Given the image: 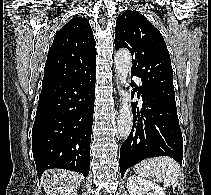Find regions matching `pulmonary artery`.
Wrapping results in <instances>:
<instances>
[{
    "mask_svg": "<svg viewBox=\"0 0 211 195\" xmlns=\"http://www.w3.org/2000/svg\"><path fill=\"white\" fill-rule=\"evenodd\" d=\"M136 82H137L139 85H141V82H140L139 79H136Z\"/></svg>",
    "mask_w": 211,
    "mask_h": 195,
    "instance_id": "1",
    "label": "pulmonary artery"
}]
</instances>
